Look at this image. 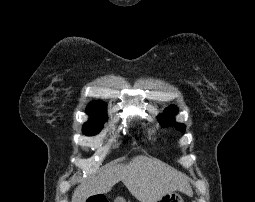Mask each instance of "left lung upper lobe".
Wrapping results in <instances>:
<instances>
[{"label":"left lung upper lobe","instance_id":"obj_1","mask_svg":"<svg viewBox=\"0 0 255 202\" xmlns=\"http://www.w3.org/2000/svg\"><path fill=\"white\" fill-rule=\"evenodd\" d=\"M178 110L177 107L172 105L165 109V114L158 117V121L163 126H178L179 129L184 132L185 131V125L184 124H178L174 122V116L177 114Z\"/></svg>","mask_w":255,"mask_h":202}]
</instances>
